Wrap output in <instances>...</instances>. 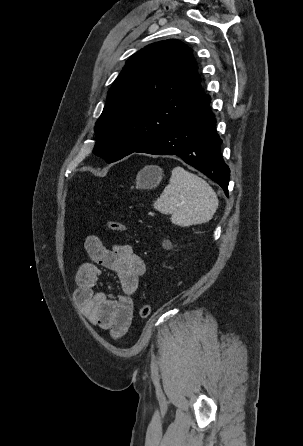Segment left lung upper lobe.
<instances>
[{
    "label": "left lung upper lobe",
    "mask_w": 303,
    "mask_h": 446,
    "mask_svg": "<svg viewBox=\"0 0 303 446\" xmlns=\"http://www.w3.org/2000/svg\"><path fill=\"white\" fill-rule=\"evenodd\" d=\"M203 93L190 47L175 39L144 47L109 90L93 152L122 159L168 133Z\"/></svg>",
    "instance_id": "1"
}]
</instances>
